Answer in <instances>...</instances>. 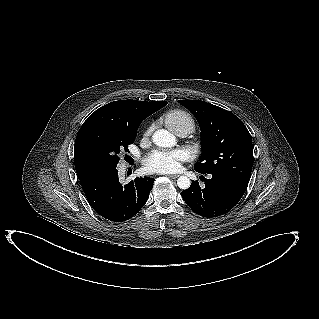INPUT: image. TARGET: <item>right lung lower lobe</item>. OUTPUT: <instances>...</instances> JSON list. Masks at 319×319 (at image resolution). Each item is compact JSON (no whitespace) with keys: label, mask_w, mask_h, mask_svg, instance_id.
I'll return each mask as SVG.
<instances>
[{"label":"right lung lower lobe","mask_w":319,"mask_h":319,"mask_svg":"<svg viewBox=\"0 0 319 319\" xmlns=\"http://www.w3.org/2000/svg\"><path fill=\"white\" fill-rule=\"evenodd\" d=\"M152 178H135L122 186L117 169L96 171L80 180V184L91 207L104 219L123 222L144 206L153 187Z\"/></svg>","instance_id":"right-lung-lower-lobe-1"}]
</instances>
